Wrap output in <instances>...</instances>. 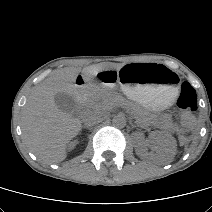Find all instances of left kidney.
<instances>
[{
	"label": "left kidney",
	"instance_id": "left-kidney-1",
	"mask_svg": "<svg viewBox=\"0 0 212 212\" xmlns=\"http://www.w3.org/2000/svg\"><path fill=\"white\" fill-rule=\"evenodd\" d=\"M136 143V153L140 158H146L149 153L143 142V134L140 132L134 133ZM150 139L156 145L157 156L163 162H170L176 154V140L173 136L160 131H153L150 134Z\"/></svg>",
	"mask_w": 212,
	"mask_h": 212
}]
</instances>
